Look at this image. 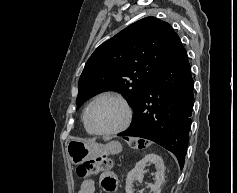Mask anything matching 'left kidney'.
<instances>
[{
  "instance_id": "left-kidney-1",
  "label": "left kidney",
  "mask_w": 237,
  "mask_h": 193,
  "mask_svg": "<svg viewBox=\"0 0 237 193\" xmlns=\"http://www.w3.org/2000/svg\"><path fill=\"white\" fill-rule=\"evenodd\" d=\"M153 163L156 168L155 183L150 185V189L153 193H160L161 185L164 182V171L165 166L162 158L156 154H147L143 159H141L135 167L127 174L126 178V193H133V182L143 181L144 168L147 164Z\"/></svg>"
}]
</instances>
